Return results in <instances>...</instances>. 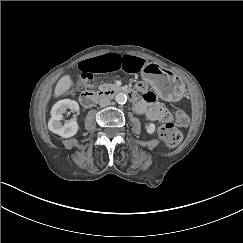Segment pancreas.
Wrapping results in <instances>:
<instances>
[{"label":"pancreas","mask_w":243,"mask_h":243,"mask_svg":"<svg viewBox=\"0 0 243 243\" xmlns=\"http://www.w3.org/2000/svg\"><path fill=\"white\" fill-rule=\"evenodd\" d=\"M115 88H116V85L110 84V83H104L99 86V89L102 91H107V90H111V89H115Z\"/></svg>","instance_id":"pancreas-1"}]
</instances>
